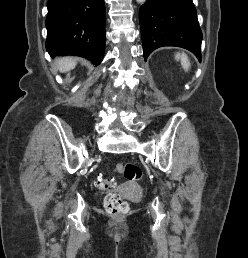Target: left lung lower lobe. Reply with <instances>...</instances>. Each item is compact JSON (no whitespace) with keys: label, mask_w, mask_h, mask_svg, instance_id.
<instances>
[{"label":"left lung lower lobe","mask_w":248,"mask_h":258,"mask_svg":"<svg viewBox=\"0 0 248 258\" xmlns=\"http://www.w3.org/2000/svg\"><path fill=\"white\" fill-rule=\"evenodd\" d=\"M139 20L145 60L159 47L177 46L201 61L202 32L192 0H147Z\"/></svg>","instance_id":"0a47b994"}]
</instances>
